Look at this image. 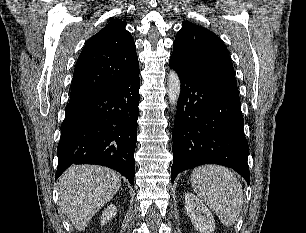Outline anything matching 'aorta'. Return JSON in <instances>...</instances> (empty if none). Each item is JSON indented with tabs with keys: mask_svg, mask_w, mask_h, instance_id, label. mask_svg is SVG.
I'll list each match as a JSON object with an SVG mask.
<instances>
[{
	"mask_svg": "<svg viewBox=\"0 0 306 233\" xmlns=\"http://www.w3.org/2000/svg\"><path fill=\"white\" fill-rule=\"evenodd\" d=\"M168 88H167V94L169 98V103L173 108L177 105L180 91H181V83L180 78L176 71L170 70L168 74Z\"/></svg>",
	"mask_w": 306,
	"mask_h": 233,
	"instance_id": "762f6f07",
	"label": "aorta"
}]
</instances>
